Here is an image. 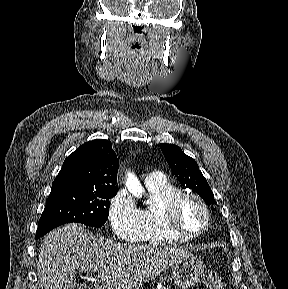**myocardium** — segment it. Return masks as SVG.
Masks as SVG:
<instances>
[{"mask_svg": "<svg viewBox=\"0 0 288 289\" xmlns=\"http://www.w3.org/2000/svg\"><path fill=\"white\" fill-rule=\"evenodd\" d=\"M186 200L196 201L201 206V208L205 213L206 223L204 228L199 232L189 233L185 231L183 228H181V226L178 223L177 219L178 208ZM162 215L166 228L173 234L186 240L197 239L203 236L209 231L211 227V213L209 207L207 203L199 195L195 193L181 192L169 198L163 206Z\"/></svg>", "mask_w": 288, "mask_h": 289, "instance_id": "1", "label": "myocardium"}]
</instances>
